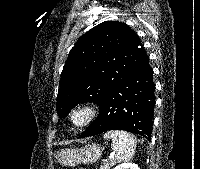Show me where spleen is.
Returning <instances> with one entry per match:
<instances>
[{
    "instance_id": "3e777b00",
    "label": "spleen",
    "mask_w": 200,
    "mask_h": 169,
    "mask_svg": "<svg viewBox=\"0 0 200 169\" xmlns=\"http://www.w3.org/2000/svg\"><path fill=\"white\" fill-rule=\"evenodd\" d=\"M104 138L112 140V150L118 153L119 161H129L133 158L137 140L132 134L122 130H111L104 134Z\"/></svg>"
}]
</instances>
